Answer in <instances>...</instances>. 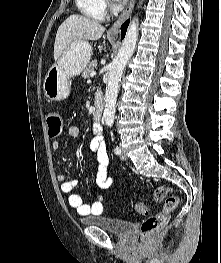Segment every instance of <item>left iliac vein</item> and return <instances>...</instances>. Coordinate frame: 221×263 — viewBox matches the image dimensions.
<instances>
[{"instance_id":"4c4485c4","label":"left iliac vein","mask_w":221,"mask_h":263,"mask_svg":"<svg viewBox=\"0 0 221 263\" xmlns=\"http://www.w3.org/2000/svg\"><path fill=\"white\" fill-rule=\"evenodd\" d=\"M120 157H121V159H123V160H126L127 159V156H126V154H125V152L122 150V152H121V154H120Z\"/></svg>"}]
</instances>
